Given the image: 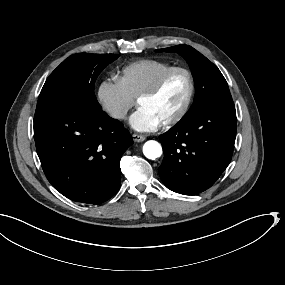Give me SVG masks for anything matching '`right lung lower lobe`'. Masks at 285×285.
I'll return each mask as SVG.
<instances>
[{
	"label": "right lung lower lobe",
	"instance_id": "right-lung-lower-lobe-1",
	"mask_svg": "<svg viewBox=\"0 0 285 285\" xmlns=\"http://www.w3.org/2000/svg\"><path fill=\"white\" fill-rule=\"evenodd\" d=\"M43 171L65 197L98 205L120 187V158L133 144L123 125L105 112L61 107L34 117Z\"/></svg>",
	"mask_w": 285,
	"mask_h": 285
}]
</instances>
